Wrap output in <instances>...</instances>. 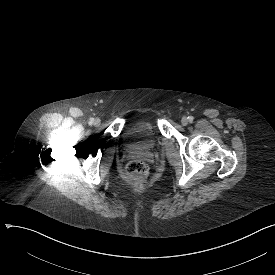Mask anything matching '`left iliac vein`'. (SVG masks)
<instances>
[{"label":"left iliac vein","mask_w":275,"mask_h":275,"mask_svg":"<svg viewBox=\"0 0 275 275\" xmlns=\"http://www.w3.org/2000/svg\"><path fill=\"white\" fill-rule=\"evenodd\" d=\"M188 118L187 117H183L182 119H181V122H182V124L183 125H187L188 124Z\"/></svg>","instance_id":"1"}]
</instances>
